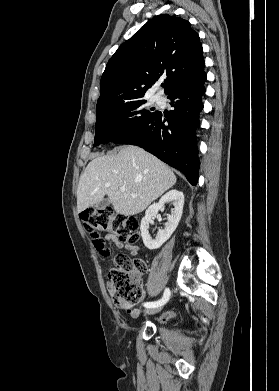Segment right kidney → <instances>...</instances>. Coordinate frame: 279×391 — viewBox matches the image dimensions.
Masks as SVG:
<instances>
[{
  "instance_id": "right-kidney-1",
  "label": "right kidney",
  "mask_w": 279,
  "mask_h": 391,
  "mask_svg": "<svg viewBox=\"0 0 279 391\" xmlns=\"http://www.w3.org/2000/svg\"><path fill=\"white\" fill-rule=\"evenodd\" d=\"M168 202H172L174 208L171 210V214L167 216V222L165 223L164 229H159L156 237L152 238L149 234V224L152 219H154L158 211L163 209L164 205ZM183 206L184 194L176 189L168 191L160 198L158 203L149 206L140 225L143 243L148 249H157L170 238L179 224L183 212Z\"/></svg>"
}]
</instances>
